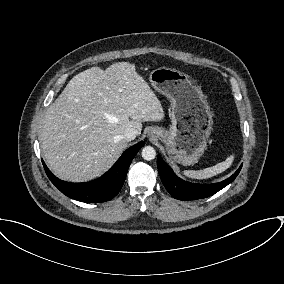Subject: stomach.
<instances>
[{"label":"stomach","instance_id":"obj_1","mask_svg":"<svg viewBox=\"0 0 284 284\" xmlns=\"http://www.w3.org/2000/svg\"><path fill=\"white\" fill-rule=\"evenodd\" d=\"M153 88L172 104L169 130L151 129L166 146L170 159L192 165L203 155L213 125L212 112L201 88L188 74L161 67L150 73Z\"/></svg>","mask_w":284,"mask_h":284}]
</instances>
